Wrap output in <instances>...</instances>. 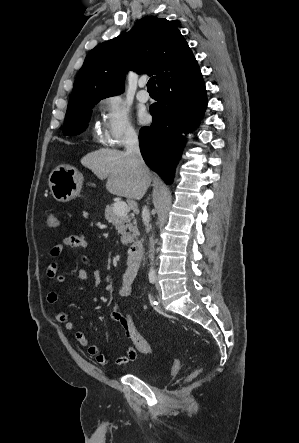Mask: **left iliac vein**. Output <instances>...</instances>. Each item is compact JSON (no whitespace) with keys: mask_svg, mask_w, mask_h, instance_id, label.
Instances as JSON below:
<instances>
[{"mask_svg":"<svg viewBox=\"0 0 299 443\" xmlns=\"http://www.w3.org/2000/svg\"><path fill=\"white\" fill-rule=\"evenodd\" d=\"M156 288H157L158 293H159V298H161V287H160V285L158 283H156Z\"/></svg>","mask_w":299,"mask_h":443,"instance_id":"1","label":"left iliac vein"}]
</instances>
